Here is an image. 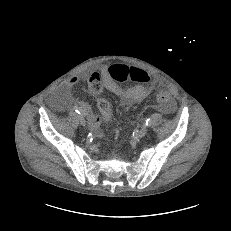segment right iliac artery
I'll list each match as a JSON object with an SVG mask.
<instances>
[{
    "label": "right iliac artery",
    "mask_w": 231,
    "mask_h": 231,
    "mask_svg": "<svg viewBox=\"0 0 231 231\" xmlns=\"http://www.w3.org/2000/svg\"><path fill=\"white\" fill-rule=\"evenodd\" d=\"M73 109H74L75 112H77L78 114H82V115L85 114V112H84L81 108H79V107H77V106H75Z\"/></svg>",
    "instance_id": "1"
}]
</instances>
